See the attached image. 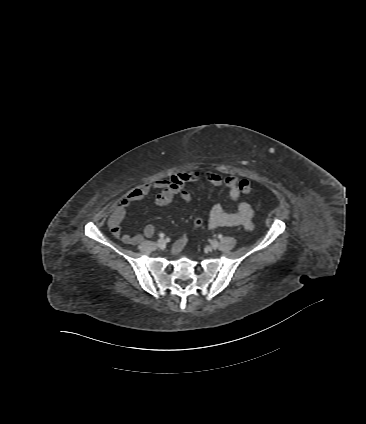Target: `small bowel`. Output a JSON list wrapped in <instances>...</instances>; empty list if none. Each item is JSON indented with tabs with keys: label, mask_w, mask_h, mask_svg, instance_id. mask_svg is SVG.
I'll return each instance as SVG.
<instances>
[{
	"label": "small bowel",
	"mask_w": 366,
	"mask_h": 424,
	"mask_svg": "<svg viewBox=\"0 0 366 424\" xmlns=\"http://www.w3.org/2000/svg\"><path fill=\"white\" fill-rule=\"evenodd\" d=\"M200 181H206L217 187H225L228 190L229 198L234 202H238L243 193L239 185L240 180L236 176L228 175L222 177L212 172L178 173L171 176L169 179L149 182L129 191L115 208L108 220V226L112 235L129 245H137L141 243L144 238L152 237L156 231L155 226L152 224L146 225L142 234L131 235L122 233L121 224L126 216L127 208L131 204L141 201L145 196L154 191H158L154 198V203L159 207L170 205L175 196H179L185 202H191L192 194L187 189V185ZM253 215L254 211L252 206L245 201L238 202L234 212H227L220 204H215L210 209L207 225L211 229L234 226H243L246 229H250L253 226ZM186 241L187 238L185 235L177 239L172 248L173 254L180 253Z\"/></svg>",
	"instance_id": "c3829d8e"
}]
</instances>
